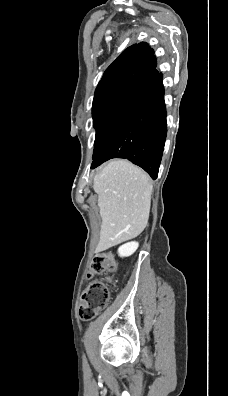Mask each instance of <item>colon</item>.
Masks as SVG:
<instances>
[{"label": "colon", "instance_id": "1", "mask_svg": "<svg viewBox=\"0 0 228 396\" xmlns=\"http://www.w3.org/2000/svg\"><path fill=\"white\" fill-rule=\"evenodd\" d=\"M117 267V260L111 253L96 254L91 260L87 278L103 273L113 272ZM109 281V279H107ZM107 281H92L84 290L79 307V316L84 321L93 319L110 300V291Z\"/></svg>", "mask_w": 228, "mask_h": 396}]
</instances>
